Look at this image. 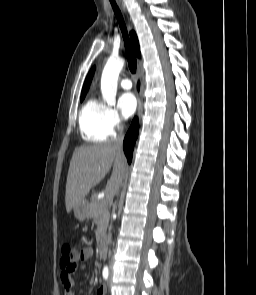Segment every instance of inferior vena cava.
I'll return each mask as SVG.
<instances>
[{
    "label": "inferior vena cava",
    "mask_w": 256,
    "mask_h": 295,
    "mask_svg": "<svg viewBox=\"0 0 256 295\" xmlns=\"http://www.w3.org/2000/svg\"><path fill=\"white\" fill-rule=\"evenodd\" d=\"M118 130H119V133H118V136H117V138H116V140L114 142V146L121 150L122 149V144H123V139H124V127L120 126L118 128Z\"/></svg>",
    "instance_id": "602c4592"
}]
</instances>
